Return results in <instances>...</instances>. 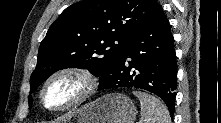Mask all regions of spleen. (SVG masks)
<instances>
[{
    "instance_id": "spleen-1",
    "label": "spleen",
    "mask_w": 221,
    "mask_h": 123,
    "mask_svg": "<svg viewBox=\"0 0 221 123\" xmlns=\"http://www.w3.org/2000/svg\"><path fill=\"white\" fill-rule=\"evenodd\" d=\"M133 94L140 100L143 123H171L167 107L158 98L139 91Z\"/></svg>"
}]
</instances>
